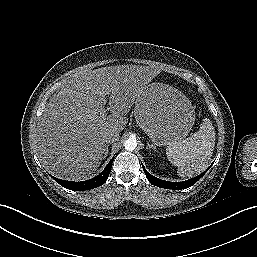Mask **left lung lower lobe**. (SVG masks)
<instances>
[{
  "label": "left lung lower lobe",
  "instance_id": "obj_1",
  "mask_svg": "<svg viewBox=\"0 0 257 257\" xmlns=\"http://www.w3.org/2000/svg\"><path fill=\"white\" fill-rule=\"evenodd\" d=\"M212 166V165H211ZM209 166V168L211 167ZM143 170L145 171L146 177L148 178L149 182L157 187H161V188H165V189H186L188 187H191L192 185H194L208 170L209 168L206 169V171H204L203 173H201L200 175L191 178L187 181H183V182H169V181H164L161 179H158L156 177H154L153 175L149 174L144 166L142 165Z\"/></svg>",
  "mask_w": 257,
  "mask_h": 257
}]
</instances>
